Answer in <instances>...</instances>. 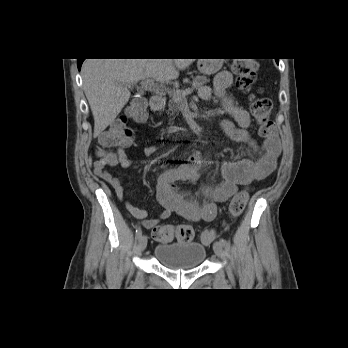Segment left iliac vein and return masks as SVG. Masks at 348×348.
I'll return each mask as SVG.
<instances>
[{
    "instance_id": "1",
    "label": "left iliac vein",
    "mask_w": 348,
    "mask_h": 348,
    "mask_svg": "<svg viewBox=\"0 0 348 348\" xmlns=\"http://www.w3.org/2000/svg\"><path fill=\"white\" fill-rule=\"evenodd\" d=\"M213 249H214V252L215 254L218 256V257H223L224 253H223V246L220 242H215L214 245H213Z\"/></svg>"
}]
</instances>
